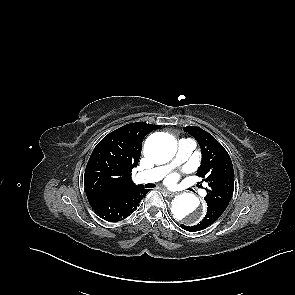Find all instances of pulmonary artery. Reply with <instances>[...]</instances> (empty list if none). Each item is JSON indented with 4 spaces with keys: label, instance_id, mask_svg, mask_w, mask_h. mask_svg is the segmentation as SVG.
I'll return each mask as SVG.
<instances>
[{
    "label": "pulmonary artery",
    "instance_id": "1",
    "mask_svg": "<svg viewBox=\"0 0 295 295\" xmlns=\"http://www.w3.org/2000/svg\"><path fill=\"white\" fill-rule=\"evenodd\" d=\"M195 148V142L192 139H181L178 142V150L172 163L166 166H160L137 174L136 180L139 183H153L161 180L173 167L185 162ZM201 196L206 192L202 190Z\"/></svg>",
    "mask_w": 295,
    "mask_h": 295
}]
</instances>
